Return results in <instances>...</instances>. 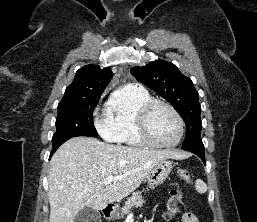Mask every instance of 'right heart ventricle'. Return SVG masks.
Listing matches in <instances>:
<instances>
[{
  "label": "right heart ventricle",
  "instance_id": "1",
  "mask_svg": "<svg viewBox=\"0 0 257 222\" xmlns=\"http://www.w3.org/2000/svg\"><path fill=\"white\" fill-rule=\"evenodd\" d=\"M152 97L144 88L126 86L116 92L109 102L107 117L112 140L126 147H144L137 129L140 108Z\"/></svg>",
  "mask_w": 257,
  "mask_h": 222
}]
</instances>
